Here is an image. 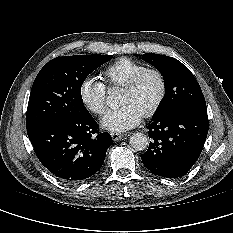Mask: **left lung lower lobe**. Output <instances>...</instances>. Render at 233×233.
Instances as JSON below:
<instances>
[{"label": "left lung lower lobe", "mask_w": 233, "mask_h": 233, "mask_svg": "<svg viewBox=\"0 0 233 233\" xmlns=\"http://www.w3.org/2000/svg\"><path fill=\"white\" fill-rule=\"evenodd\" d=\"M147 128L152 139L141 155L145 167L167 178L184 176L199 158L209 129L207 109L182 108L155 117Z\"/></svg>", "instance_id": "obj_1"}]
</instances>
